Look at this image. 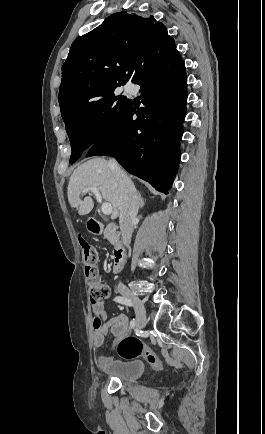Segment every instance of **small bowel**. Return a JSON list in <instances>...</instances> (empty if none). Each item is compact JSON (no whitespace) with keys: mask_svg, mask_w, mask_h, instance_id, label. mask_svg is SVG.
<instances>
[{"mask_svg":"<svg viewBox=\"0 0 265 434\" xmlns=\"http://www.w3.org/2000/svg\"><path fill=\"white\" fill-rule=\"evenodd\" d=\"M92 314L104 320L101 327L93 332L92 342L96 349L103 347L105 340L111 336L115 341L123 339L129 333V320L125 314H119L107 319V311L102 302L92 304ZM111 358L100 359V362L111 363Z\"/></svg>","mask_w":265,"mask_h":434,"instance_id":"obj_1","label":"small bowel"}]
</instances>
